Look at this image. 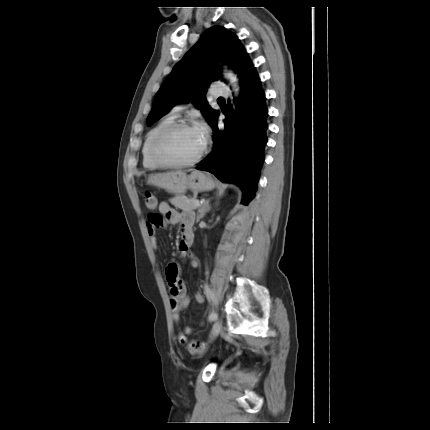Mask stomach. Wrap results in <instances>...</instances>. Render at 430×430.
Segmentation results:
<instances>
[{
	"instance_id": "stomach-1",
	"label": "stomach",
	"mask_w": 430,
	"mask_h": 430,
	"mask_svg": "<svg viewBox=\"0 0 430 430\" xmlns=\"http://www.w3.org/2000/svg\"><path fill=\"white\" fill-rule=\"evenodd\" d=\"M148 183L177 195L184 194L188 189L203 192L215 187L214 180L202 171H193L189 175L183 171L151 174Z\"/></svg>"
}]
</instances>
